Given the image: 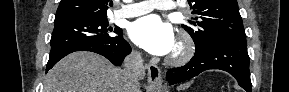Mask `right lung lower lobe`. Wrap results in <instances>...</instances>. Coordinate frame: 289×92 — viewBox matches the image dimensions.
I'll return each instance as SVG.
<instances>
[{
	"mask_svg": "<svg viewBox=\"0 0 289 92\" xmlns=\"http://www.w3.org/2000/svg\"><path fill=\"white\" fill-rule=\"evenodd\" d=\"M75 51H91L98 53L109 59L114 65L122 63L126 55L131 52V47L122 37L111 43H85L62 49L54 54H50L46 72L51 69L60 59Z\"/></svg>",
	"mask_w": 289,
	"mask_h": 92,
	"instance_id": "98d812e1",
	"label": "right lung lower lobe"
}]
</instances>
